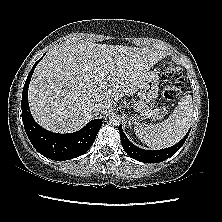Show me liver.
<instances>
[{"label": "liver", "mask_w": 222, "mask_h": 222, "mask_svg": "<svg viewBox=\"0 0 222 222\" xmlns=\"http://www.w3.org/2000/svg\"><path fill=\"white\" fill-rule=\"evenodd\" d=\"M165 56L147 47L60 45L34 71L28 92L31 113L52 132L77 131L124 95H133L145 73ZM92 104H101L102 110L94 114Z\"/></svg>", "instance_id": "liver-1"}]
</instances>
